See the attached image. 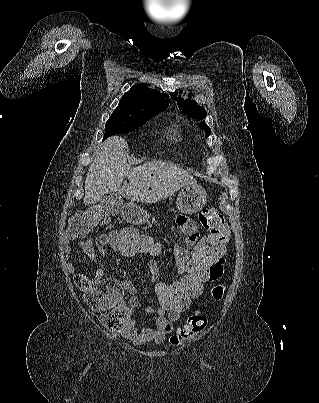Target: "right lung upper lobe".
<instances>
[{
	"instance_id": "1",
	"label": "right lung upper lobe",
	"mask_w": 319,
	"mask_h": 403,
	"mask_svg": "<svg viewBox=\"0 0 319 403\" xmlns=\"http://www.w3.org/2000/svg\"><path fill=\"white\" fill-rule=\"evenodd\" d=\"M169 105V96L143 85L133 86L126 92L114 112L127 117L145 119L164 111Z\"/></svg>"
}]
</instances>
